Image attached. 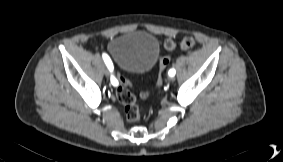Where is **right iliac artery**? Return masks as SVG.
<instances>
[{
  "label": "right iliac artery",
  "mask_w": 283,
  "mask_h": 162,
  "mask_svg": "<svg viewBox=\"0 0 283 162\" xmlns=\"http://www.w3.org/2000/svg\"><path fill=\"white\" fill-rule=\"evenodd\" d=\"M102 57H103V60L105 61V64L107 65L108 69L110 71H112L113 70V64H112V61L109 58V56L106 53H103ZM111 83L113 85H116L118 83L114 76H111Z\"/></svg>",
  "instance_id": "82829eb1"
}]
</instances>
